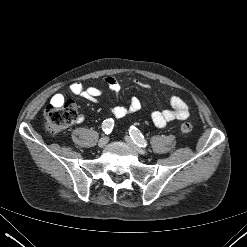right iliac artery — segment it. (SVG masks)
<instances>
[{
	"mask_svg": "<svg viewBox=\"0 0 247 247\" xmlns=\"http://www.w3.org/2000/svg\"><path fill=\"white\" fill-rule=\"evenodd\" d=\"M114 127V121L113 119H106L102 123V129L106 134H109Z\"/></svg>",
	"mask_w": 247,
	"mask_h": 247,
	"instance_id": "obj_1",
	"label": "right iliac artery"
}]
</instances>
